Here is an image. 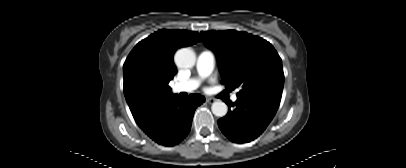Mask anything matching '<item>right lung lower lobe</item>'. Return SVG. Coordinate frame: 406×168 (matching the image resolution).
Returning a JSON list of instances; mask_svg holds the SVG:
<instances>
[{
    "mask_svg": "<svg viewBox=\"0 0 406 168\" xmlns=\"http://www.w3.org/2000/svg\"><path fill=\"white\" fill-rule=\"evenodd\" d=\"M204 101L205 98L199 94H191L185 99L171 95L135 121L155 142L173 146L189 134L195 109Z\"/></svg>",
    "mask_w": 406,
    "mask_h": 168,
    "instance_id": "1",
    "label": "right lung lower lobe"
}]
</instances>
